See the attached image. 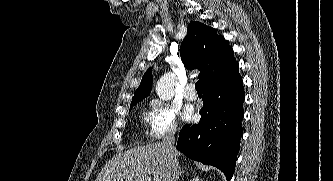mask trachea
Here are the masks:
<instances>
[{
  "mask_svg": "<svg viewBox=\"0 0 333 181\" xmlns=\"http://www.w3.org/2000/svg\"><path fill=\"white\" fill-rule=\"evenodd\" d=\"M195 89L197 92H201V84H200V81H197L196 84H195Z\"/></svg>",
  "mask_w": 333,
  "mask_h": 181,
  "instance_id": "obj_1",
  "label": "trachea"
}]
</instances>
